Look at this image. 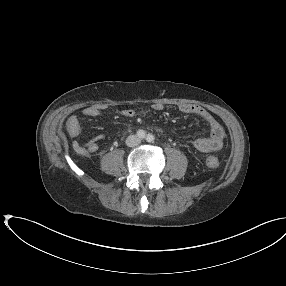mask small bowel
I'll return each mask as SVG.
<instances>
[{
	"instance_id": "1",
	"label": "small bowel",
	"mask_w": 286,
	"mask_h": 286,
	"mask_svg": "<svg viewBox=\"0 0 286 286\" xmlns=\"http://www.w3.org/2000/svg\"><path fill=\"white\" fill-rule=\"evenodd\" d=\"M178 108L184 114H195L202 117L210 126L211 134L208 138L197 139L194 141V146L196 149L202 152H213L222 148L225 138V130L211 113H209L203 107L191 103H181ZM152 109L160 112L164 109V105L161 103H155L152 105ZM102 111V107L92 105L86 107L82 111V114L86 118H93L100 115ZM121 114L124 117L132 118L135 116V111L128 108L122 110ZM64 125L68 135L71 138H78L81 135L82 125L76 115L68 116L64 122ZM102 139H104V135L100 134L85 142L74 141L73 149L76 154L80 156H87L88 154L97 152L99 150V143Z\"/></svg>"
}]
</instances>
